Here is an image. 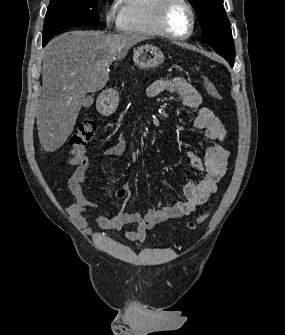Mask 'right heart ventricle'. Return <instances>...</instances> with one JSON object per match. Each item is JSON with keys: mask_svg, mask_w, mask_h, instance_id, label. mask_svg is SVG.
<instances>
[{"mask_svg": "<svg viewBox=\"0 0 285 335\" xmlns=\"http://www.w3.org/2000/svg\"><path fill=\"white\" fill-rule=\"evenodd\" d=\"M163 1H131L133 16L127 26L142 39L167 38L163 32L159 14Z\"/></svg>", "mask_w": 285, "mask_h": 335, "instance_id": "obj_1", "label": "right heart ventricle"}]
</instances>
